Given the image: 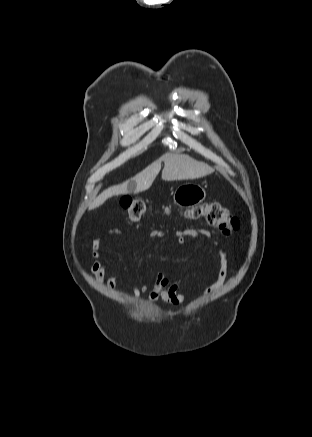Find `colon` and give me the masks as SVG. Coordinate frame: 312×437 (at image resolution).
I'll return each instance as SVG.
<instances>
[{
    "instance_id": "colon-1",
    "label": "colon",
    "mask_w": 312,
    "mask_h": 437,
    "mask_svg": "<svg viewBox=\"0 0 312 437\" xmlns=\"http://www.w3.org/2000/svg\"><path fill=\"white\" fill-rule=\"evenodd\" d=\"M121 207L126 211L131 221H140L149 212L150 205L144 199L122 197ZM195 219L202 218L208 224L219 229L224 235H230L239 228V220L220 202L211 201L197 205L187 211Z\"/></svg>"
}]
</instances>
